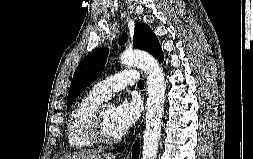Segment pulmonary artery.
<instances>
[{
  "label": "pulmonary artery",
  "instance_id": "obj_1",
  "mask_svg": "<svg viewBox=\"0 0 253 159\" xmlns=\"http://www.w3.org/2000/svg\"><path fill=\"white\" fill-rule=\"evenodd\" d=\"M139 80L140 76L136 70L126 69L94 84L91 91L105 100L115 92H118L127 86L137 84Z\"/></svg>",
  "mask_w": 253,
  "mask_h": 159
}]
</instances>
